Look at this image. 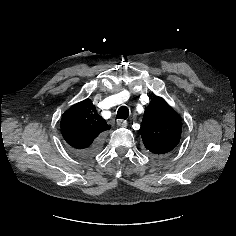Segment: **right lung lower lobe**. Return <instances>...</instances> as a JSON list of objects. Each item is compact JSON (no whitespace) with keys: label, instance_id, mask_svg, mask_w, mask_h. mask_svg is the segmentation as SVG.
Segmentation results:
<instances>
[{"label":"right lung lower lobe","instance_id":"98d812e1","mask_svg":"<svg viewBox=\"0 0 236 236\" xmlns=\"http://www.w3.org/2000/svg\"><path fill=\"white\" fill-rule=\"evenodd\" d=\"M102 146V141L97 139L92 146L84 150H77V153L82 157H91L96 154Z\"/></svg>","mask_w":236,"mask_h":236}]
</instances>
